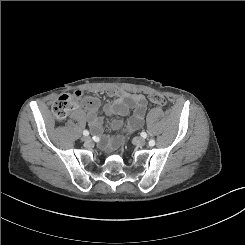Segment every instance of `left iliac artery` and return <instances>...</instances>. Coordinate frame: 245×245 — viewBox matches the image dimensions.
Wrapping results in <instances>:
<instances>
[{
	"mask_svg": "<svg viewBox=\"0 0 245 245\" xmlns=\"http://www.w3.org/2000/svg\"><path fill=\"white\" fill-rule=\"evenodd\" d=\"M149 145H150V146H154V145H155V141H154L153 139H151V140L149 141Z\"/></svg>",
	"mask_w": 245,
	"mask_h": 245,
	"instance_id": "left-iliac-artery-1",
	"label": "left iliac artery"
}]
</instances>
